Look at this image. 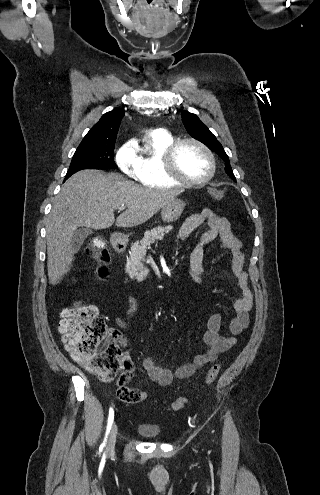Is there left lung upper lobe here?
Here are the masks:
<instances>
[{"label":"left lung upper lobe","mask_w":320,"mask_h":495,"mask_svg":"<svg viewBox=\"0 0 320 495\" xmlns=\"http://www.w3.org/2000/svg\"><path fill=\"white\" fill-rule=\"evenodd\" d=\"M182 120L185 125L187 132L195 139L199 140L205 144L210 150L217 153L225 162V172L234 180L236 178L233 174L229 157L225 153L222 145L216 139V137L210 132L208 127L201 122L196 114L189 113L188 111H183Z\"/></svg>","instance_id":"left-lung-upper-lobe-1"}]
</instances>
